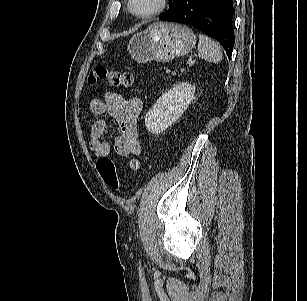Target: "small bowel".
Instances as JSON below:
<instances>
[{
    "instance_id": "small-bowel-1",
    "label": "small bowel",
    "mask_w": 307,
    "mask_h": 301,
    "mask_svg": "<svg viewBox=\"0 0 307 301\" xmlns=\"http://www.w3.org/2000/svg\"><path fill=\"white\" fill-rule=\"evenodd\" d=\"M93 115H108L119 126V132L114 141V149L123 157L138 155L140 144L138 140V118L142 111V101L137 97L126 98L116 92L108 93L104 99L94 98L90 102ZM108 127L105 119L96 120L91 127L89 147L97 157H110L111 145L103 138ZM129 166L139 168V162L132 159Z\"/></svg>"
}]
</instances>
